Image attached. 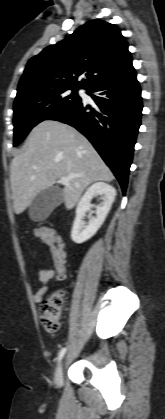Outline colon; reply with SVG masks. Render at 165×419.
I'll use <instances>...</instances> for the list:
<instances>
[{"label": "colon", "mask_w": 165, "mask_h": 419, "mask_svg": "<svg viewBox=\"0 0 165 419\" xmlns=\"http://www.w3.org/2000/svg\"><path fill=\"white\" fill-rule=\"evenodd\" d=\"M50 247L54 266L59 280L66 278L65 251L61 238L50 229L37 230ZM36 231V232H37ZM64 312L63 293L58 291L49 295L39 307V317L43 328L48 333H56L60 329V322Z\"/></svg>", "instance_id": "colon-1"}]
</instances>
